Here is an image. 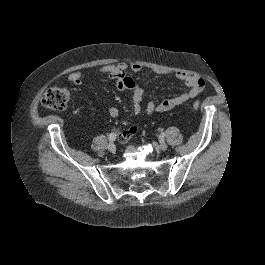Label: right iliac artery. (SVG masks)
I'll list each match as a JSON object with an SVG mask.
<instances>
[{"label": "right iliac artery", "mask_w": 265, "mask_h": 265, "mask_svg": "<svg viewBox=\"0 0 265 265\" xmlns=\"http://www.w3.org/2000/svg\"><path fill=\"white\" fill-rule=\"evenodd\" d=\"M116 136H117L116 133H114V132L110 133L108 136L109 141H111V142L114 141L116 139Z\"/></svg>", "instance_id": "obj_1"}]
</instances>
